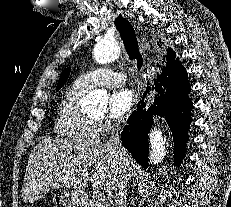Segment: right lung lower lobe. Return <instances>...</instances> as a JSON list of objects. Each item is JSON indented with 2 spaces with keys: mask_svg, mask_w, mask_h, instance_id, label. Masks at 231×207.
Instances as JSON below:
<instances>
[{
  "mask_svg": "<svg viewBox=\"0 0 231 207\" xmlns=\"http://www.w3.org/2000/svg\"><path fill=\"white\" fill-rule=\"evenodd\" d=\"M164 66L154 80L152 89L155 95L154 105L147 107L142 102L130 115L124 127L121 139L124 147L144 168L148 167V133L153 124V115L164 117L171 130L174 143V164L179 166L184 158L188 130L192 122V102L189 99L190 85L187 72L175 55H167ZM151 89V88H150Z\"/></svg>",
  "mask_w": 231,
  "mask_h": 207,
  "instance_id": "98d812e1",
  "label": "right lung lower lobe"
}]
</instances>
